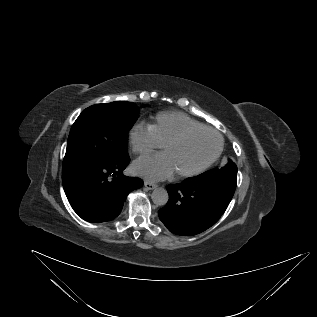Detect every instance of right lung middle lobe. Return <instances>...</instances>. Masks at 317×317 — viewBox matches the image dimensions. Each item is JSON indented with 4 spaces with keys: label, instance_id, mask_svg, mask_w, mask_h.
Wrapping results in <instances>:
<instances>
[{
    "label": "right lung middle lobe",
    "instance_id": "1",
    "mask_svg": "<svg viewBox=\"0 0 317 317\" xmlns=\"http://www.w3.org/2000/svg\"><path fill=\"white\" fill-rule=\"evenodd\" d=\"M131 102L95 104L74 122L63 160L62 174L128 155V132L138 119Z\"/></svg>",
    "mask_w": 317,
    "mask_h": 317
}]
</instances>
